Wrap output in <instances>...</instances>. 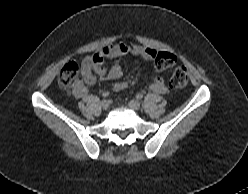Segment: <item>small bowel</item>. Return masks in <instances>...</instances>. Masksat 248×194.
<instances>
[{"instance_id": "1", "label": "small bowel", "mask_w": 248, "mask_h": 194, "mask_svg": "<svg viewBox=\"0 0 248 194\" xmlns=\"http://www.w3.org/2000/svg\"><path fill=\"white\" fill-rule=\"evenodd\" d=\"M128 54L153 59L155 51L139 45L120 43L106 46L96 54L87 56L82 62V79L73 88L74 96L77 98L86 96L88 93L87 85H93L97 81L104 82L120 78L122 76L120 60ZM106 59L114 60V64L110 68L105 66ZM150 89L158 94L168 92L162 77L155 78L150 84Z\"/></svg>"}]
</instances>
